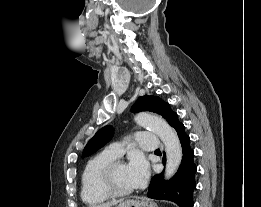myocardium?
Segmentation results:
<instances>
[{
    "label": "myocardium",
    "mask_w": 261,
    "mask_h": 207,
    "mask_svg": "<svg viewBox=\"0 0 261 207\" xmlns=\"http://www.w3.org/2000/svg\"><path fill=\"white\" fill-rule=\"evenodd\" d=\"M120 165H125V162L120 159H115L104 168L101 174L102 188L110 197H124L130 195L134 191V188L129 190H120L115 187L113 176L116 168Z\"/></svg>",
    "instance_id": "obj_1"
}]
</instances>
